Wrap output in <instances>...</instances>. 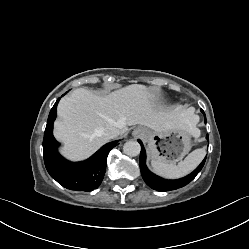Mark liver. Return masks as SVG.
I'll return each instance as SVG.
<instances>
[{
	"instance_id": "obj_1",
	"label": "liver",
	"mask_w": 249,
	"mask_h": 249,
	"mask_svg": "<svg viewBox=\"0 0 249 249\" xmlns=\"http://www.w3.org/2000/svg\"><path fill=\"white\" fill-rule=\"evenodd\" d=\"M57 111L54 135L64 144L62 154L71 160L87 158L104 145L107 127L118 128L122 135L136 124L157 132L185 127L195 137L200 136L196 128L199 117L192 108H162L152 90L140 84L105 96L78 88L60 100Z\"/></svg>"
}]
</instances>
